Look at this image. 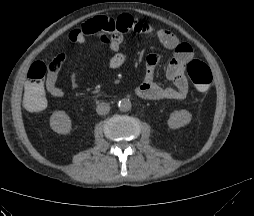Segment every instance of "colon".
<instances>
[{
    "mask_svg": "<svg viewBox=\"0 0 254 216\" xmlns=\"http://www.w3.org/2000/svg\"><path fill=\"white\" fill-rule=\"evenodd\" d=\"M101 39H106L103 33ZM60 65L61 59L57 56L44 62L37 61L31 66L22 98L23 105L28 111L37 113L47 107L49 98L43 89V80L49 70L56 71ZM187 74L198 91L205 92L209 89L212 82V71L206 63L192 59L187 65Z\"/></svg>",
    "mask_w": 254,
    "mask_h": 216,
    "instance_id": "5ec220e1",
    "label": "colon"
}]
</instances>
